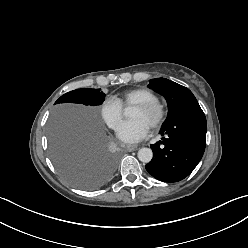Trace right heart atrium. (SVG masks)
<instances>
[{
    "label": "right heart atrium",
    "mask_w": 248,
    "mask_h": 248,
    "mask_svg": "<svg viewBox=\"0 0 248 248\" xmlns=\"http://www.w3.org/2000/svg\"><path fill=\"white\" fill-rule=\"evenodd\" d=\"M99 113L110 129L118 128L122 120V107L114 99H104L99 106Z\"/></svg>",
    "instance_id": "d8ad5b80"
}]
</instances>
